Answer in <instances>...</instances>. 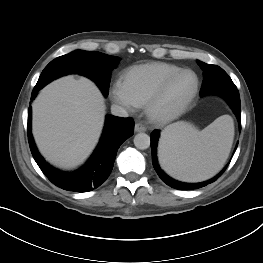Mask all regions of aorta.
I'll list each match as a JSON object with an SVG mask.
<instances>
[{
    "mask_svg": "<svg viewBox=\"0 0 263 263\" xmlns=\"http://www.w3.org/2000/svg\"><path fill=\"white\" fill-rule=\"evenodd\" d=\"M134 145L137 149L144 150L150 147V137L146 133H138L134 137Z\"/></svg>",
    "mask_w": 263,
    "mask_h": 263,
    "instance_id": "1",
    "label": "aorta"
}]
</instances>
